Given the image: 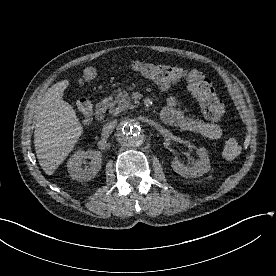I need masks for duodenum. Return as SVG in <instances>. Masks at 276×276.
I'll return each instance as SVG.
<instances>
[{
  "mask_svg": "<svg viewBox=\"0 0 276 276\" xmlns=\"http://www.w3.org/2000/svg\"><path fill=\"white\" fill-rule=\"evenodd\" d=\"M107 102L103 101L97 104L95 108V118L98 121H103L106 116Z\"/></svg>",
  "mask_w": 276,
  "mask_h": 276,
  "instance_id": "duodenum-1",
  "label": "duodenum"
}]
</instances>
